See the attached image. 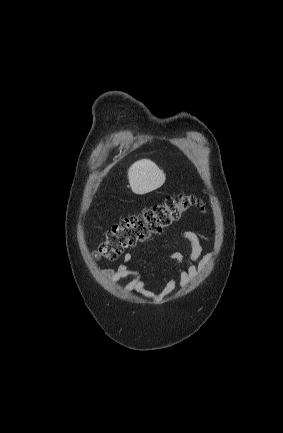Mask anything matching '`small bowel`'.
<instances>
[{
  "label": "small bowel",
  "mask_w": 283,
  "mask_h": 433,
  "mask_svg": "<svg viewBox=\"0 0 283 433\" xmlns=\"http://www.w3.org/2000/svg\"><path fill=\"white\" fill-rule=\"evenodd\" d=\"M202 241L210 242V239L197 231L187 230L182 233L180 244H188L190 246V253L187 259L180 251H174L170 255V259L179 265V269L166 282L164 288L159 293L153 292L150 283L144 281L140 273L130 266L133 260L131 253L124 255L123 263L116 269L105 271L103 275L113 283L124 278H131L125 287L126 292H136L142 297L152 301H162L175 292L178 286L187 287L193 282L197 278L198 272L203 270L211 260V254L202 256Z\"/></svg>",
  "instance_id": "1"
}]
</instances>
